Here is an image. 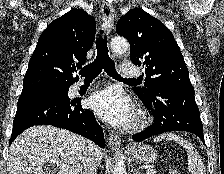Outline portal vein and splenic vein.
I'll return each instance as SVG.
<instances>
[{
	"label": "portal vein and splenic vein",
	"mask_w": 224,
	"mask_h": 174,
	"mask_svg": "<svg viewBox=\"0 0 224 174\" xmlns=\"http://www.w3.org/2000/svg\"><path fill=\"white\" fill-rule=\"evenodd\" d=\"M156 173H157L156 169L147 170V174H156Z\"/></svg>",
	"instance_id": "portal-vein-and-splenic-vein-1"
}]
</instances>
